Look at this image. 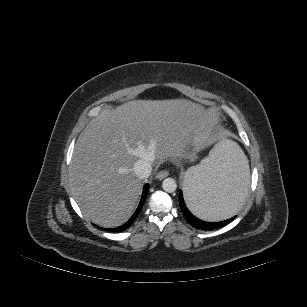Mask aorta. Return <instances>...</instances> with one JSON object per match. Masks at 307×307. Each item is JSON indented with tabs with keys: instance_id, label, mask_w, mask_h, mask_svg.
<instances>
[{
	"instance_id": "aorta-1",
	"label": "aorta",
	"mask_w": 307,
	"mask_h": 307,
	"mask_svg": "<svg viewBox=\"0 0 307 307\" xmlns=\"http://www.w3.org/2000/svg\"><path fill=\"white\" fill-rule=\"evenodd\" d=\"M162 188L165 192L173 193L177 188L176 181L173 178H166L162 182Z\"/></svg>"
}]
</instances>
